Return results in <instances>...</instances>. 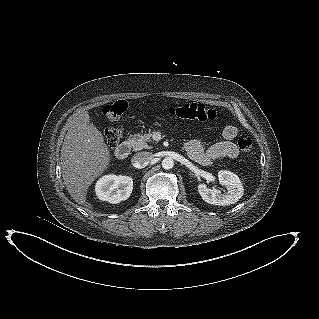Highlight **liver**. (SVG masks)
Here are the masks:
<instances>
[{
  "instance_id": "1",
  "label": "liver",
  "mask_w": 319,
  "mask_h": 319,
  "mask_svg": "<svg viewBox=\"0 0 319 319\" xmlns=\"http://www.w3.org/2000/svg\"><path fill=\"white\" fill-rule=\"evenodd\" d=\"M64 184L75 202H86L88 187L108 167L110 152L100 130L90 121L87 111L79 112L70 122L61 147Z\"/></svg>"
}]
</instances>
